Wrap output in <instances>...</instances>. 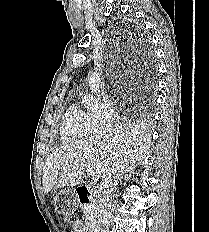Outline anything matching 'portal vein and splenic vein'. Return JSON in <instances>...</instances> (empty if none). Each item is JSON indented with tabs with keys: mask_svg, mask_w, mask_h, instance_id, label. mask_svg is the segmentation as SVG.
Returning <instances> with one entry per match:
<instances>
[{
	"mask_svg": "<svg viewBox=\"0 0 209 232\" xmlns=\"http://www.w3.org/2000/svg\"><path fill=\"white\" fill-rule=\"evenodd\" d=\"M86 168L87 171L91 174L92 181L96 183L100 178V174L97 171H95V169H93V167L91 166H87Z\"/></svg>",
	"mask_w": 209,
	"mask_h": 232,
	"instance_id": "portal-vein-and-splenic-vein-1",
	"label": "portal vein and splenic vein"
}]
</instances>
